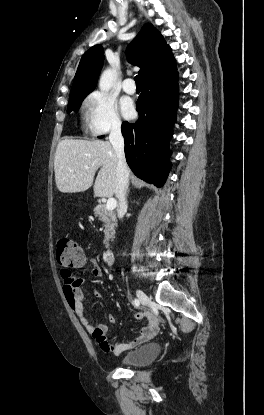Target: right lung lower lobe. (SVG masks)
<instances>
[{
	"label": "right lung lower lobe",
	"instance_id": "obj_1",
	"mask_svg": "<svg viewBox=\"0 0 264 415\" xmlns=\"http://www.w3.org/2000/svg\"><path fill=\"white\" fill-rule=\"evenodd\" d=\"M142 88L136 102L139 119L122 123L125 156L137 177L161 187L170 168L169 141L178 103V73L144 81Z\"/></svg>",
	"mask_w": 264,
	"mask_h": 415
}]
</instances>
